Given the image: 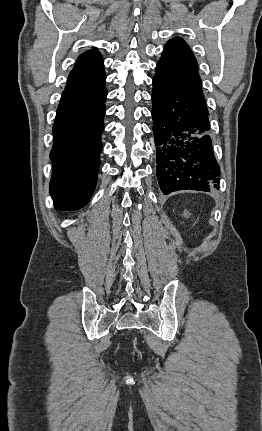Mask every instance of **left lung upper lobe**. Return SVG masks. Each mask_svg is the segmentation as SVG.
<instances>
[{
	"mask_svg": "<svg viewBox=\"0 0 262 431\" xmlns=\"http://www.w3.org/2000/svg\"><path fill=\"white\" fill-rule=\"evenodd\" d=\"M154 78L185 94L208 111L197 61L183 39L176 37L167 42L156 66Z\"/></svg>",
	"mask_w": 262,
	"mask_h": 431,
	"instance_id": "left-lung-upper-lobe-1",
	"label": "left lung upper lobe"
}]
</instances>
